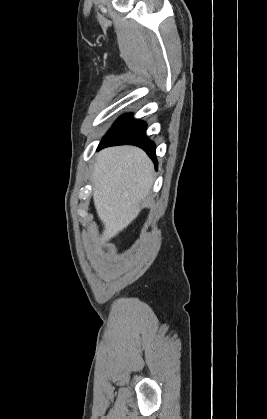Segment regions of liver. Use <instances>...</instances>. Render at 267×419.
<instances>
[{"label": "liver", "mask_w": 267, "mask_h": 419, "mask_svg": "<svg viewBox=\"0 0 267 419\" xmlns=\"http://www.w3.org/2000/svg\"><path fill=\"white\" fill-rule=\"evenodd\" d=\"M154 166L140 148L110 147L100 151L92 171L93 201L109 241L140 213L154 181Z\"/></svg>", "instance_id": "liver-1"}]
</instances>
